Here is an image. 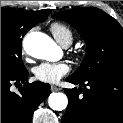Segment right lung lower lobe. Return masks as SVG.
Returning a JSON list of instances; mask_svg holds the SVG:
<instances>
[{"label": "right lung lower lobe", "mask_w": 123, "mask_h": 123, "mask_svg": "<svg viewBox=\"0 0 123 123\" xmlns=\"http://www.w3.org/2000/svg\"><path fill=\"white\" fill-rule=\"evenodd\" d=\"M28 71L17 75L1 76V123H31L37 106L50 94V85L26 82ZM23 83L19 93L12 92V83Z\"/></svg>", "instance_id": "1"}]
</instances>
